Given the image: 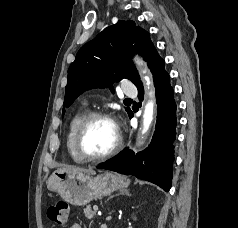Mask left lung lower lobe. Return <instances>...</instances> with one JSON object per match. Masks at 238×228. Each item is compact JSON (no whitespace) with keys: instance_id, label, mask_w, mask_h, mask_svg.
Here are the masks:
<instances>
[{"instance_id":"obj_1","label":"left lung lower lobe","mask_w":238,"mask_h":228,"mask_svg":"<svg viewBox=\"0 0 238 228\" xmlns=\"http://www.w3.org/2000/svg\"><path fill=\"white\" fill-rule=\"evenodd\" d=\"M153 74L157 97V122L151 144L144 151L134 154L124 149L117 156L97 166L99 169L116 171L124 175H133L152 182L168 192L171 188L172 164L176 137V103L174 91L169 82V74L164 69V60L156 51L147 61ZM138 97L143 99L142 82L136 85ZM133 117V112L129 114Z\"/></svg>"}]
</instances>
